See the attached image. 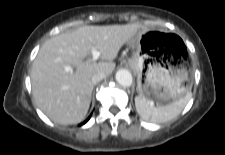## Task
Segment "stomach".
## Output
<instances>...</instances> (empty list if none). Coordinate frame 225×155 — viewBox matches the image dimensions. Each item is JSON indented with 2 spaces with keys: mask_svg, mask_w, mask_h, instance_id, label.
<instances>
[{
  "mask_svg": "<svg viewBox=\"0 0 225 155\" xmlns=\"http://www.w3.org/2000/svg\"><path fill=\"white\" fill-rule=\"evenodd\" d=\"M169 38L158 30H140L130 41L129 65L137 73L139 95L153 103L176 101L191 88L192 76L185 63L165 54Z\"/></svg>",
  "mask_w": 225,
  "mask_h": 155,
  "instance_id": "stomach-1",
  "label": "stomach"
}]
</instances>
